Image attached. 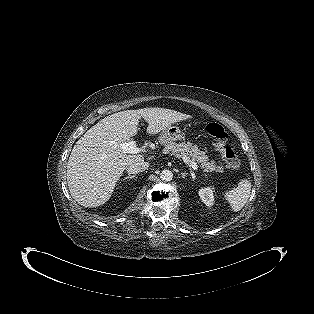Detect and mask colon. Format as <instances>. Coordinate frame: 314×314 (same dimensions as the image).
<instances>
[{
	"mask_svg": "<svg viewBox=\"0 0 314 314\" xmlns=\"http://www.w3.org/2000/svg\"><path fill=\"white\" fill-rule=\"evenodd\" d=\"M207 134L213 139L216 150L221 154L228 167L238 169L240 167V159L235 149L228 144V133L218 123H209L206 126Z\"/></svg>",
	"mask_w": 314,
	"mask_h": 314,
	"instance_id": "5ec220e1",
	"label": "colon"
}]
</instances>
